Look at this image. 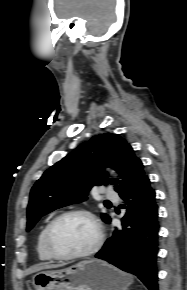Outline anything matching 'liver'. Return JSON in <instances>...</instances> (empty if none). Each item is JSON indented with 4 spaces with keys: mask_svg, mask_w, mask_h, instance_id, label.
Instances as JSON below:
<instances>
[{
    "mask_svg": "<svg viewBox=\"0 0 187 290\" xmlns=\"http://www.w3.org/2000/svg\"><path fill=\"white\" fill-rule=\"evenodd\" d=\"M65 264H42V265H36L32 268L29 269V273H34V272H38L40 270H44V269H52V268H58V267H62Z\"/></svg>",
    "mask_w": 187,
    "mask_h": 290,
    "instance_id": "1",
    "label": "liver"
}]
</instances>
